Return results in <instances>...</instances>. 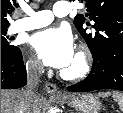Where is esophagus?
Listing matches in <instances>:
<instances>
[{"instance_id": "1", "label": "esophagus", "mask_w": 123, "mask_h": 113, "mask_svg": "<svg viewBox=\"0 0 123 113\" xmlns=\"http://www.w3.org/2000/svg\"><path fill=\"white\" fill-rule=\"evenodd\" d=\"M45 89L48 93L56 96H63L64 94L60 92L57 88V86L53 83H46L45 84Z\"/></svg>"}]
</instances>
